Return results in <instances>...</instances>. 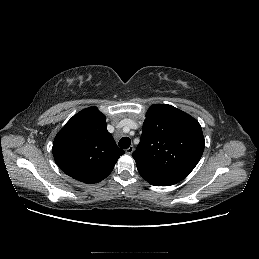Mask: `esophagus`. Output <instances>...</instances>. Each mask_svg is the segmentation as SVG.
<instances>
[{
    "label": "esophagus",
    "instance_id": "esophagus-1",
    "mask_svg": "<svg viewBox=\"0 0 259 259\" xmlns=\"http://www.w3.org/2000/svg\"><path fill=\"white\" fill-rule=\"evenodd\" d=\"M134 152V147L133 146H130L126 149V153L127 154H132Z\"/></svg>",
    "mask_w": 259,
    "mask_h": 259
}]
</instances>
